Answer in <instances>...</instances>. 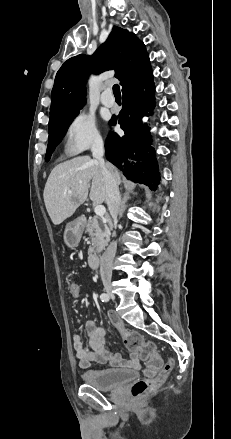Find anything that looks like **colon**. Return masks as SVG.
Here are the masks:
<instances>
[{
    "instance_id": "obj_1",
    "label": "colon",
    "mask_w": 231,
    "mask_h": 439,
    "mask_svg": "<svg viewBox=\"0 0 231 439\" xmlns=\"http://www.w3.org/2000/svg\"><path fill=\"white\" fill-rule=\"evenodd\" d=\"M67 289L72 296H76L79 293L80 287L77 281L69 279L67 281ZM123 337L126 346L131 351H136L139 357L145 361L144 377L135 381L131 387L132 396L140 398L164 381L165 377L173 369L174 361L169 359L163 363L155 346L144 341L138 333L128 331Z\"/></svg>"
}]
</instances>
